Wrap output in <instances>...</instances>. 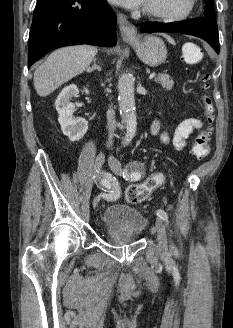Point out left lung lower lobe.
I'll return each mask as SVG.
<instances>
[{
  "mask_svg": "<svg viewBox=\"0 0 233 328\" xmlns=\"http://www.w3.org/2000/svg\"><path fill=\"white\" fill-rule=\"evenodd\" d=\"M140 30L143 33L177 32L193 35L207 41L219 54L220 45L216 21H211L205 18L171 23L148 21L142 23Z\"/></svg>",
  "mask_w": 233,
  "mask_h": 328,
  "instance_id": "1",
  "label": "left lung lower lobe"
}]
</instances>
